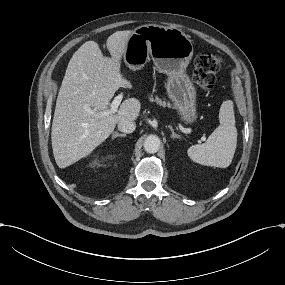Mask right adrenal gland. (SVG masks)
<instances>
[{"label": "right adrenal gland", "mask_w": 285, "mask_h": 285, "mask_svg": "<svg viewBox=\"0 0 285 285\" xmlns=\"http://www.w3.org/2000/svg\"><path fill=\"white\" fill-rule=\"evenodd\" d=\"M122 138V137H126V134H118V133H113V137L112 140L116 139V138Z\"/></svg>", "instance_id": "obj_1"}]
</instances>
